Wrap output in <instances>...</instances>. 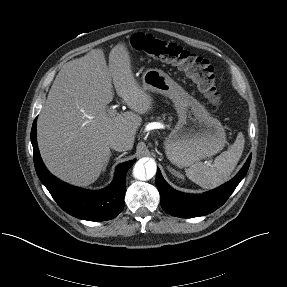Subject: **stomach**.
<instances>
[{
  "label": "stomach",
  "mask_w": 287,
  "mask_h": 287,
  "mask_svg": "<svg viewBox=\"0 0 287 287\" xmlns=\"http://www.w3.org/2000/svg\"><path fill=\"white\" fill-rule=\"evenodd\" d=\"M142 88L160 93L174 103L178 122L164 141L165 154L172 164L188 167L224 148L226 133L220 121L168 74L148 69L142 75Z\"/></svg>",
  "instance_id": "0dacf381"
}]
</instances>
